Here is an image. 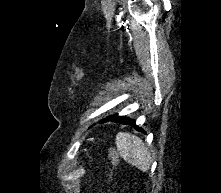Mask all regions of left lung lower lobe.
Here are the masks:
<instances>
[{
	"label": "left lung lower lobe",
	"instance_id": "left-lung-lower-lobe-1",
	"mask_svg": "<svg viewBox=\"0 0 221 193\" xmlns=\"http://www.w3.org/2000/svg\"><path fill=\"white\" fill-rule=\"evenodd\" d=\"M107 120L120 122V123L126 124V125H132V126H134V128L136 130L143 132V130L141 128L136 126L135 120L129 119L127 117L118 116L117 114H115V115H111V116L107 117L104 121H107Z\"/></svg>",
	"mask_w": 221,
	"mask_h": 193
}]
</instances>
